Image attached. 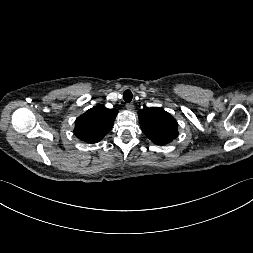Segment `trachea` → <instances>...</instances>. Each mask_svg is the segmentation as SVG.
Wrapping results in <instances>:
<instances>
[{
  "label": "trachea",
  "mask_w": 253,
  "mask_h": 253,
  "mask_svg": "<svg viewBox=\"0 0 253 253\" xmlns=\"http://www.w3.org/2000/svg\"><path fill=\"white\" fill-rule=\"evenodd\" d=\"M133 98V94L131 92V90L127 89L124 94H123V99L126 101V102H130Z\"/></svg>",
  "instance_id": "trachea-1"
}]
</instances>
